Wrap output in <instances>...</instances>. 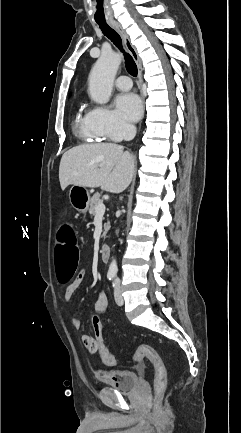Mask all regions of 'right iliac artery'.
I'll return each mask as SVG.
<instances>
[{"mask_svg": "<svg viewBox=\"0 0 241 433\" xmlns=\"http://www.w3.org/2000/svg\"><path fill=\"white\" fill-rule=\"evenodd\" d=\"M113 276L112 275H108V279L112 280Z\"/></svg>", "mask_w": 241, "mask_h": 433, "instance_id": "obj_1", "label": "right iliac artery"}]
</instances>
